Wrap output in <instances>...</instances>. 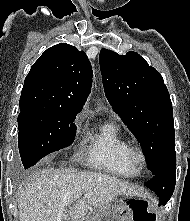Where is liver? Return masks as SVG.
<instances>
[{
	"label": "liver",
	"instance_id": "1",
	"mask_svg": "<svg viewBox=\"0 0 190 221\" xmlns=\"http://www.w3.org/2000/svg\"><path fill=\"white\" fill-rule=\"evenodd\" d=\"M92 193L90 198H84ZM129 183L97 172L42 169L20 190V221H83L91 207L99 209L117 195L137 196Z\"/></svg>",
	"mask_w": 190,
	"mask_h": 221
}]
</instances>
